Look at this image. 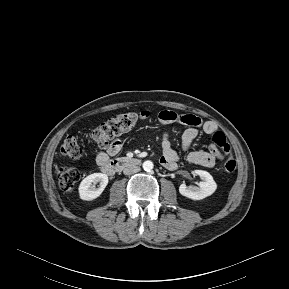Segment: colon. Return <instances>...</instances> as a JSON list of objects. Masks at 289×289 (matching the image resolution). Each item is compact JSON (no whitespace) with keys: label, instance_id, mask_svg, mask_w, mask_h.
I'll return each instance as SVG.
<instances>
[{"label":"colon","instance_id":"1","mask_svg":"<svg viewBox=\"0 0 289 289\" xmlns=\"http://www.w3.org/2000/svg\"><path fill=\"white\" fill-rule=\"evenodd\" d=\"M149 117L147 111L138 113H123L119 114L95 128L91 134L94 143L100 149H106L110 141L123 132L131 130L139 121L145 120ZM211 147L221 149L227 156L224 164V169L227 173L231 174L236 169V161L231 156V146L226 136L217 131L211 136ZM60 151L63 155L70 158H79L82 154V149L74 136H67L61 147ZM57 179L60 188L64 192H72L78 181L79 173L74 167H60L57 170Z\"/></svg>","mask_w":289,"mask_h":289}]
</instances>
